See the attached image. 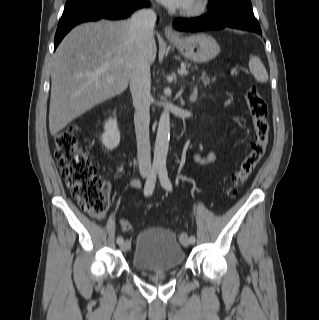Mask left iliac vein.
<instances>
[{
  "mask_svg": "<svg viewBox=\"0 0 319 320\" xmlns=\"http://www.w3.org/2000/svg\"><path fill=\"white\" fill-rule=\"evenodd\" d=\"M180 241H181L182 245L185 247L190 245V242L188 240V236L186 233H183V235L180 236Z\"/></svg>",
  "mask_w": 319,
  "mask_h": 320,
  "instance_id": "1",
  "label": "left iliac vein"
}]
</instances>
